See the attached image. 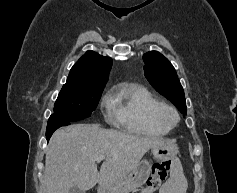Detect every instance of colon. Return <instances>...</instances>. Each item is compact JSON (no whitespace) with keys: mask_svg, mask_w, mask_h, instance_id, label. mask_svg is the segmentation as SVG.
I'll list each match as a JSON object with an SVG mask.
<instances>
[{"mask_svg":"<svg viewBox=\"0 0 237 193\" xmlns=\"http://www.w3.org/2000/svg\"><path fill=\"white\" fill-rule=\"evenodd\" d=\"M171 171V162L156 163L152 167V174L149 177L143 193H153L168 177Z\"/></svg>","mask_w":237,"mask_h":193,"instance_id":"1","label":"colon"}]
</instances>
